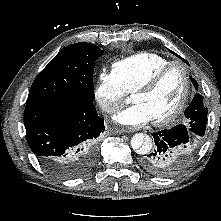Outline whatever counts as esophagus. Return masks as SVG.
<instances>
[{
    "label": "esophagus",
    "instance_id": "obj_1",
    "mask_svg": "<svg viewBox=\"0 0 221 221\" xmlns=\"http://www.w3.org/2000/svg\"><path fill=\"white\" fill-rule=\"evenodd\" d=\"M112 131H113V133L122 134V133L126 132L127 130L123 129V128H115Z\"/></svg>",
    "mask_w": 221,
    "mask_h": 221
}]
</instances>
